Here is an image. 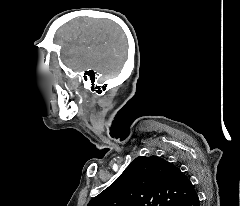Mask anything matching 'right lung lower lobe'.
Returning a JSON list of instances; mask_svg holds the SVG:
<instances>
[{
  "mask_svg": "<svg viewBox=\"0 0 240 206\" xmlns=\"http://www.w3.org/2000/svg\"><path fill=\"white\" fill-rule=\"evenodd\" d=\"M199 203H200L199 198H198V195L196 193L191 198L176 204V206H199Z\"/></svg>",
  "mask_w": 240,
  "mask_h": 206,
  "instance_id": "obj_1",
  "label": "right lung lower lobe"
}]
</instances>
